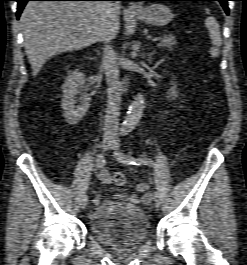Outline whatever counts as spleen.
I'll use <instances>...</instances> for the list:
<instances>
[{"label": "spleen", "mask_w": 247, "mask_h": 265, "mask_svg": "<svg viewBox=\"0 0 247 265\" xmlns=\"http://www.w3.org/2000/svg\"><path fill=\"white\" fill-rule=\"evenodd\" d=\"M205 11L206 14H210L208 9H205ZM205 26L209 31V36L213 44V47L210 49V54L213 57H217L219 55V47L222 44L219 25L214 17H208L205 20Z\"/></svg>", "instance_id": "3e777b00"}]
</instances>
